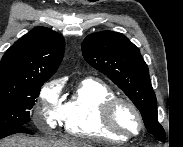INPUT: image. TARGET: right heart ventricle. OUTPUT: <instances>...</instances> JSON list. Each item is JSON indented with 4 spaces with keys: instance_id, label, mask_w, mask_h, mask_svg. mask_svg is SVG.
I'll list each match as a JSON object with an SVG mask.
<instances>
[{
    "instance_id": "obj_1",
    "label": "right heart ventricle",
    "mask_w": 183,
    "mask_h": 147,
    "mask_svg": "<svg viewBox=\"0 0 183 147\" xmlns=\"http://www.w3.org/2000/svg\"><path fill=\"white\" fill-rule=\"evenodd\" d=\"M115 96L104 82L93 78L82 80L64 103L63 127L67 134L82 139L125 141L107 130L100 118L101 105Z\"/></svg>"
}]
</instances>
